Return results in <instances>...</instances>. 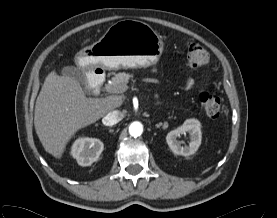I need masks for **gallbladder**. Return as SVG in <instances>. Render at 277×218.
Segmentation results:
<instances>
[{"mask_svg": "<svg viewBox=\"0 0 277 218\" xmlns=\"http://www.w3.org/2000/svg\"><path fill=\"white\" fill-rule=\"evenodd\" d=\"M62 75L68 76L70 78H73L77 82L81 83L82 85L87 84L86 77L82 74V72L74 67V66H66L62 69Z\"/></svg>", "mask_w": 277, "mask_h": 218, "instance_id": "obj_1", "label": "gallbladder"}]
</instances>
